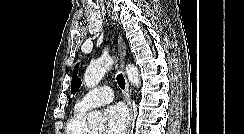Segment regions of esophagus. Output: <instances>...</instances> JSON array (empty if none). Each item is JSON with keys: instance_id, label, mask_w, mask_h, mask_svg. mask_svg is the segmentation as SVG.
Wrapping results in <instances>:
<instances>
[{"instance_id": "34e87169", "label": "esophagus", "mask_w": 244, "mask_h": 134, "mask_svg": "<svg viewBox=\"0 0 244 134\" xmlns=\"http://www.w3.org/2000/svg\"><path fill=\"white\" fill-rule=\"evenodd\" d=\"M117 47H118V53L120 56V61H121V70L124 75L125 79V91H124V96H125V101L127 103L129 113H130V118H129V123L127 126L126 134H130V129L132 126V120H133V108H132V103H131V95H130V88H129V81L125 73V56H126V44L123 40L122 35L119 33L117 37Z\"/></svg>"}]
</instances>
